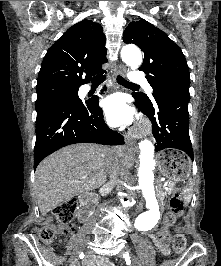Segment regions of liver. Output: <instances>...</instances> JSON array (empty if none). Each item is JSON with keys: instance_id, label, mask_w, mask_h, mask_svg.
Here are the masks:
<instances>
[{"instance_id": "liver-1", "label": "liver", "mask_w": 221, "mask_h": 266, "mask_svg": "<svg viewBox=\"0 0 221 266\" xmlns=\"http://www.w3.org/2000/svg\"><path fill=\"white\" fill-rule=\"evenodd\" d=\"M106 150L116 155L128 172L132 166V157L125 147L105 149L94 144L64 147L38 165L34 188L42 216L60 203L94 190L106 182Z\"/></svg>"}]
</instances>
